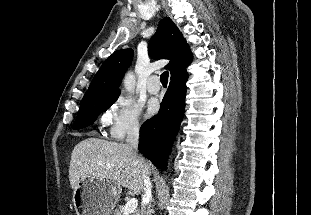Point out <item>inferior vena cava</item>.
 <instances>
[{"instance_id":"1","label":"inferior vena cava","mask_w":311,"mask_h":215,"mask_svg":"<svg viewBox=\"0 0 311 215\" xmlns=\"http://www.w3.org/2000/svg\"><path fill=\"white\" fill-rule=\"evenodd\" d=\"M127 145L129 148L134 151L136 154L138 152V144H139V127L133 126L129 129L126 139ZM138 155V154H137ZM138 163L143 166V159L138 156ZM151 182L149 177L145 176L144 179V197L151 199ZM141 215H151L150 214V202L145 204L141 209Z\"/></svg>"}]
</instances>
